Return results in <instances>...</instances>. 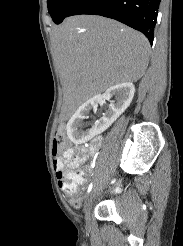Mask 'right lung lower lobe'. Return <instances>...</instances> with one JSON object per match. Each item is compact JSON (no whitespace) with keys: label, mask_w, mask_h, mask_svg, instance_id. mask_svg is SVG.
Instances as JSON below:
<instances>
[{"label":"right lung lower lobe","mask_w":183,"mask_h":246,"mask_svg":"<svg viewBox=\"0 0 183 246\" xmlns=\"http://www.w3.org/2000/svg\"><path fill=\"white\" fill-rule=\"evenodd\" d=\"M160 0H78L68 16L101 15L142 32L153 43Z\"/></svg>","instance_id":"right-lung-lower-lobe-1"}]
</instances>
